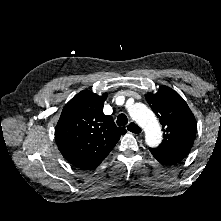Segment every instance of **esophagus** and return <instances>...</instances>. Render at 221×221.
Returning <instances> with one entry per match:
<instances>
[{"label":"esophagus","instance_id":"34e87169","mask_svg":"<svg viewBox=\"0 0 221 221\" xmlns=\"http://www.w3.org/2000/svg\"><path fill=\"white\" fill-rule=\"evenodd\" d=\"M126 129L128 132L134 135H139L143 133V130L141 127H139L135 122L131 121L127 126Z\"/></svg>","mask_w":221,"mask_h":221}]
</instances>
